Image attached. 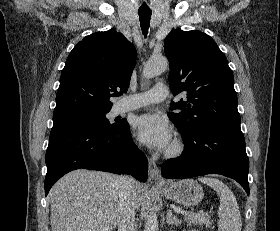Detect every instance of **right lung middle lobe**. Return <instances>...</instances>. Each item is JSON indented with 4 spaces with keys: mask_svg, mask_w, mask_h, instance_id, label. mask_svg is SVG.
<instances>
[{
    "mask_svg": "<svg viewBox=\"0 0 280 231\" xmlns=\"http://www.w3.org/2000/svg\"><path fill=\"white\" fill-rule=\"evenodd\" d=\"M106 114H101L97 116L81 118L76 120H71L68 122L53 125V127L60 126H84L98 131H117L125 126L126 123H115L110 124L109 120L106 118Z\"/></svg>",
    "mask_w": 280,
    "mask_h": 231,
    "instance_id": "dd1d6c3e",
    "label": "right lung middle lobe"
}]
</instances>
